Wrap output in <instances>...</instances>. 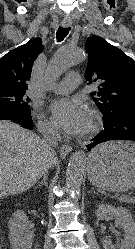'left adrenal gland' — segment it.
Returning a JSON list of instances; mask_svg holds the SVG:
<instances>
[{
    "label": "left adrenal gland",
    "mask_w": 135,
    "mask_h": 249,
    "mask_svg": "<svg viewBox=\"0 0 135 249\" xmlns=\"http://www.w3.org/2000/svg\"><path fill=\"white\" fill-rule=\"evenodd\" d=\"M89 193H96L97 194V192H95L94 188H92V190Z\"/></svg>",
    "instance_id": "left-adrenal-gland-1"
}]
</instances>
